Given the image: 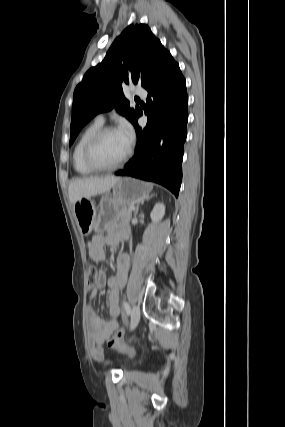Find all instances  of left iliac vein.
Returning <instances> with one entry per match:
<instances>
[{"label":"left iliac vein","mask_w":285,"mask_h":427,"mask_svg":"<svg viewBox=\"0 0 285 427\" xmlns=\"http://www.w3.org/2000/svg\"><path fill=\"white\" fill-rule=\"evenodd\" d=\"M140 320V308L137 305H134L131 311L130 318V330H134L138 325Z\"/></svg>","instance_id":"left-iliac-vein-1"}]
</instances>
